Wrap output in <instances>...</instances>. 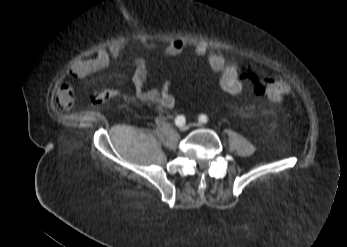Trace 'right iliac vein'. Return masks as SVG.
<instances>
[{
	"label": "right iliac vein",
	"instance_id": "right-iliac-vein-1",
	"mask_svg": "<svg viewBox=\"0 0 347 247\" xmlns=\"http://www.w3.org/2000/svg\"><path fill=\"white\" fill-rule=\"evenodd\" d=\"M188 130V127L186 125H183L180 127V131L186 132Z\"/></svg>",
	"mask_w": 347,
	"mask_h": 247
}]
</instances>
